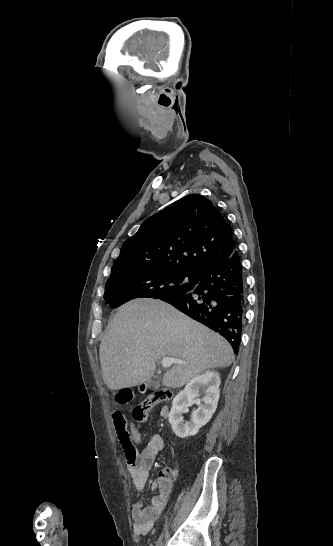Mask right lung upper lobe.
I'll return each mask as SVG.
<instances>
[{"label":"right lung upper lobe","mask_w":333,"mask_h":546,"mask_svg":"<svg viewBox=\"0 0 333 546\" xmlns=\"http://www.w3.org/2000/svg\"><path fill=\"white\" fill-rule=\"evenodd\" d=\"M236 249L218 209L204 196L190 194L144 221L123 243L112 270L137 267L197 276Z\"/></svg>","instance_id":"obj_1"}]
</instances>
